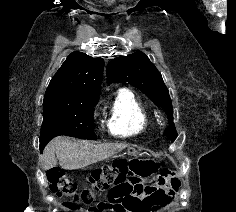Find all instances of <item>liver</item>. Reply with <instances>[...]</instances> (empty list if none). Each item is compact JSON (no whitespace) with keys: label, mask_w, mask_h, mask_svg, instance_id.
<instances>
[{"label":"liver","mask_w":236,"mask_h":212,"mask_svg":"<svg viewBox=\"0 0 236 212\" xmlns=\"http://www.w3.org/2000/svg\"><path fill=\"white\" fill-rule=\"evenodd\" d=\"M127 146L122 143L95 145L86 140L71 141L67 137H57L51 140L44 149L43 168L55 167L58 160L59 165L64 169H81L107 159Z\"/></svg>","instance_id":"obj_1"}]
</instances>
